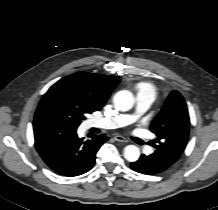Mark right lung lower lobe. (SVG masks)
Here are the masks:
<instances>
[{
  "mask_svg": "<svg viewBox=\"0 0 218 210\" xmlns=\"http://www.w3.org/2000/svg\"><path fill=\"white\" fill-rule=\"evenodd\" d=\"M33 128L41 158L54 172L69 177L89 171L98 149L107 140L105 135H92L87 140L78 138L76 129L58 120H35Z\"/></svg>",
  "mask_w": 218,
  "mask_h": 210,
  "instance_id": "right-lung-lower-lobe-1",
  "label": "right lung lower lobe"
}]
</instances>
